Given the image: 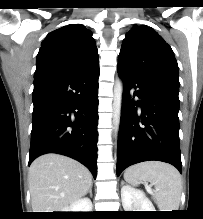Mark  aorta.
Segmentation results:
<instances>
[{
    "instance_id": "obj_1",
    "label": "aorta",
    "mask_w": 203,
    "mask_h": 219,
    "mask_svg": "<svg viewBox=\"0 0 203 219\" xmlns=\"http://www.w3.org/2000/svg\"><path fill=\"white\" fill-rule=\"evenodd\" d=\"M122 95H123V83L118 79L114 86V98H113V129L118 130L121 117L122 108Z\"/></svg>"
}]
</instances>
